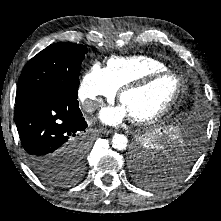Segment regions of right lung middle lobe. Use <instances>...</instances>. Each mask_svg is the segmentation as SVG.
<instances>
[{"mask_svg":"<svg viewBox=\"0 0 221 221\" xmlns=\"http://www.w3.org/2000/svg\"><path fill=\"white\" fill-rule=\"evenodd\" d=\"M86 53L85 46L68 42L54 43L39 52L25 65L20 75L16 102L33 93L51 90L77 96L81 63ZM89 148V140L75 148L63 170L59 164L40 165L38 177L57 186L74 183L83 174Z\"/></svg>","mask_w":221,"mask_h":221,"instance_id":"obj_1","label":"right lung middle lobe"}]
</instances>
